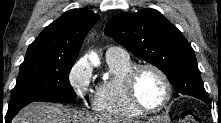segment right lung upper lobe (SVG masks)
Wrapping results in <instances>:
<instances>
[{"mask_svg": "<svg viewBox=\"0 0 221 123\" xmlns=\"http://www.w3.org/2000/svg\"><path fill=\"white\" fill-rule=\"evenodd\" d=\"M99 18L87 9L68 10L29 45L26 56L77 58L86 34Z\"/></svg>", "mask_w": 221, "mask_h": 123, "instance_id": "right-lung-upper-lobe-1", "label": "right lung upper lobe"}]
</instances>
